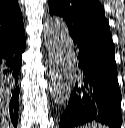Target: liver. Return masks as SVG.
<instances>
[{
	"label": "liver",
	"instance_id": "1",
	"mask_svg": "<svg viewBox=\"0 0 125 128\" xmlns=\"http://www.w3.org/2000/svg\"><path fill=\"white\" fill-rule=\"evenodd\" d=\"M7 91L0 84V128H11L8 121Z\"/></svg>",
	"mask_w": 125,
	"mask_h": 128
}]
</instances>
